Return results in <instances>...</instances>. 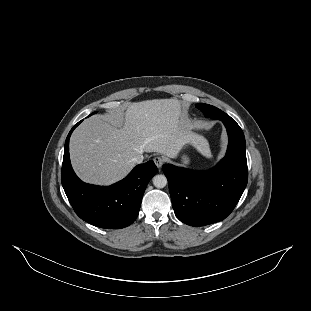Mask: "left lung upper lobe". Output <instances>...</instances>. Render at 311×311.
<instances>
[{
  "label": "left lung upper lobe",
  "mask_w": 311,
  "mask_h": 311,
  "mask_svg": "<svg viewBox=\"0 0 311 311\" xmlns=\"http://www.w3.org/2000/svg\"><path fill=\"white\" fill-rule=\"evenodd\" d=\"M196 107L202 111L207 117L213 118V119H221L222 116H224L226 113L221 111L220 109L208 105V104H203L199 103L196 105Z\"/></svg>",
  "instance_id": "left-lung-upper-lobe-1"
}]
</instances>
